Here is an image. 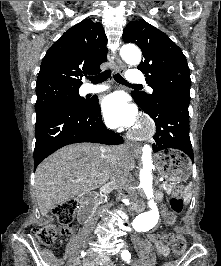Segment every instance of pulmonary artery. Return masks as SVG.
Masks as SVG:
<instances>
[{"mask_svg":"<svg viewBox=\"0 0 221 266\" xmlns=\"http://www.w3.org/2000/svg\"><path fill=\"white\" fill-rule=\"evenodd\" d=\"M127 77H128V80L132 83H140L144 80V73L138 71L137 69H133L128 73ZM106 89L107 87L105 86H99V87L91 88L89 91L93 93H98V92L105 91Z\"/></svg>","mask_w":221,"mask_h":266,"instance_id":"e3ab8cb5","label":"pulmonary artery"}]
</instances>
